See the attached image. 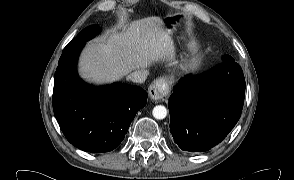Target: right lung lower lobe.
Instances as JSON below:
<instances>
[{"label": "right lung lower lobe", "mask_w": 294, "mask_h": 180, "mask_svg": "<svg viewBox=\"0 0 294 180\" xmlns=\"http://www.w3.org/2000/svg\"><path fill=\"white\" fill-rule=\"evenodd\" d=\"M83 45L63 50L54 79L53 109L68 141L86 152H109L124 139L147 92L138 86L114 83L94 87L77 75Z\"/></svg>", "instance_id": "obj_1"}]
</instances>
